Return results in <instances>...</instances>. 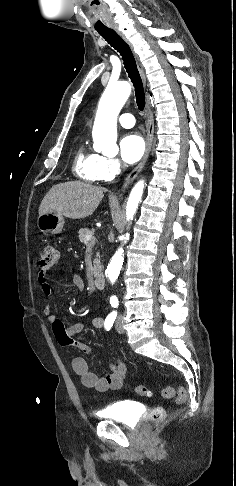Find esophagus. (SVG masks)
I'll use <instances>...</instances> for the list:
<instances>
[{
  "instance_id": "34e87169",
  "label": "esophagus",
  "mask_w": 236,
  "mask_h": 486,
  "mask_svg": "<svg viewBox=\"0 0 236 486\" xmlns=\"http://www.w3.org/2000/svg\"><path fill=\"white\" fill-rule=\"evenodd\" d=\"M113 29L130 47V49H131V51L134 55V58L136 60L137 67H138V70L140 72L143 83H144V85H146V77H145V74H144V69H143L142 65L139 63V59H138L136 53L133 50L132 44L129 42V40L125 37V35L117 27H114ZM146 112H147V118L148 119H147V135H146L145 153H144L141 161L139 162V164L125 178V181H124L123 186H122V190H124L129 184H131L134 181V179L138 176V174L141 172L142 168L144 167V165H145V163H146V161L149 157V154H150V151H151V148H152L153 138H154V120H153V116H152L151 111H150L149 102H147V104H146Z\"/></svg>"
}]
</instances>
